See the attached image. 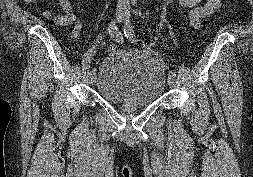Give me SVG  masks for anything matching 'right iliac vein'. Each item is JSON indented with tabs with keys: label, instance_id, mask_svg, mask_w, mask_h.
Here are the masks:
<instances>
[{
	"label": "right iliac vein",
	"instance_id": "obj_1",
	"mask_svg": "<svg viewBox=\"0 0 253 177\" xmlns=\"http://www.w3.org/2000/svg\"><path fill=\"white\" fill-rule=\"evenodd\" d=\"M125 13H126V11H125V9H123V8H119V9L117 10L116 16H117V20H118L119 22H123V21H124V19H125ZM95 80H96V75L93 73V74H91V75L89 76V83H90L91 85H93V84L95 83Z\"/></svg>",
	"mask_w": 253,
	"mask_h": 177
}]
</instances>
